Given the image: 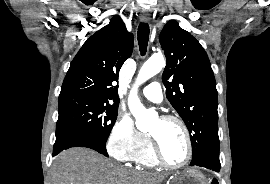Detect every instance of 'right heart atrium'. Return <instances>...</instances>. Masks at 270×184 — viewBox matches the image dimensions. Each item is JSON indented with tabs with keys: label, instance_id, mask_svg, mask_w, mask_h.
Segmentation results:
<instances>
[{
	"label": "right heart atrium",
	"instance_id": "right-heart-atrium-1",
	"mask_svg": "<svg viewBox=\"0 0 270 184\" xmlns=\"http://www.w3.org/2000/svg\"><path fill=\"white\" fill-rule=\"evenodd\" d=\"M148 136L140 132L127 115L118 116L109 133L106 147L109 154L120 162H130L147 143Z\"/></svg>",
	"mask_w": 270,
	"mask_h": 184
}]
</instances>
